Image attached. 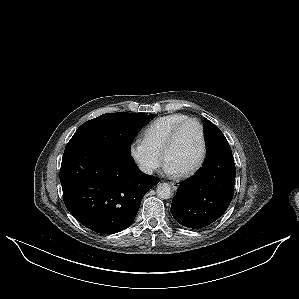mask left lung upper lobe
Listing matches in <instances>:
<instances>
[{"instance_id": "obj_1", "label": "left lung upper lobe", "mask_w": 299, "mask_h": 299, "mask_svg": "<svg viewBox=\"0 0 299 299\" xmlns=\"http://www.w3.org/2000/svg\"><path fill=\"white\" fill-rule=\"evenodd\" d=\"M203 129L206 140L207 155L218 149L231 151L225 136L217 126L206 120Z\"/></svg>"}]
</instances>
